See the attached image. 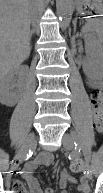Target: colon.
Masks as SVG:
<instances>
[{"mask_svg": "<svg viewBox=\"0 0 103 193\" xmlns=\"http://www.w3.org/2000/svg\"><path fill=\"white\" fill-rule=\"evenodd\" d=\"M91 103L93 110V120L95 126L101 129L103 126V91L101 89H95L91 93ZM70 169L74 173L82 172V165L79 161H72L70 164ZM16 193H26L24 187H17Z\"/></svg>", "mask_w": 103, "mask_h": 193, "instance_id": "colon-1", "label": "colon"}]
</instances>
